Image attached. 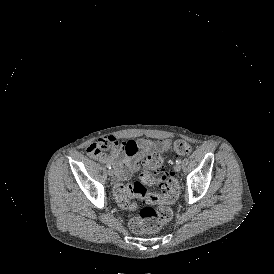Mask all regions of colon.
Masks as SVG:
<instances>
[{"label": "colon", "instance_id": "obj_1", "mask_svg": "<svg viewBox=\"0 0 274 274\" xmlns=\"http://www.w3.org/2000/svg\"><path fill=\"white\" fill-rule=\"evenodd\" d=\"M174 149L181 156L191 153V146L183 140L174 144ZM102 152V151H86ZM142 174L134 183L118 184L114 189V196L120 207L126 210H134L137 205L133 197H148L154 201L155 206L146 205L138 214L128 219L129 229L136 234H146L158 231L172 216L171 204L177 199L180 186L174 173H166L162 159L159 156H149L140 162ZM152 185L161 186L163 194L161 197L149 194L148 188Z\"/></svg>", "mask_w": 274, "mask_h": 274}]
</instances>
